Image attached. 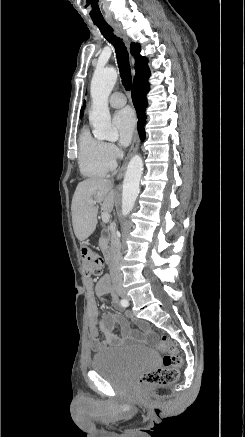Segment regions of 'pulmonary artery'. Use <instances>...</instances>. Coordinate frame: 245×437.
<instances>
[{
  "instance_id": "obj_1",
  "label": "pulmonary artery",
  "mask_w": 245,
  "mask_h": 437,
  "mask_svg": "<svg viewBox=\"0 0 245 437\" xmlns=\"http://www.w3.org/2000/svg\"><path fill=\"white\" fill-rule=\"evenodd\" d=\"M109 104L113 108H120L126 104V97L121 92H115L110 96Z\"/></svg>"
}]
</instances>
